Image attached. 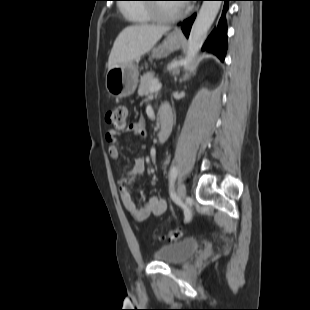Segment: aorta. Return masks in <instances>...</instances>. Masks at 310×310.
I'll return each instance as SVG.
<instances>
[{"instance_id": "aorta-1", "label": "aorta", "mask_w": 310, "mask_h": 310, "mask_svg": "<svg viewBox=\"0 0 310 310\" xmlns=\"http://www.w3.org/2000/svg\"><path fill=\"white\" fill-rule=\"evenodd\" d=\"M221 1H204L192 26L184 66L189 67L196 58L204 38L213 24L221 6Z\"/></svg>"}]
</instances>
